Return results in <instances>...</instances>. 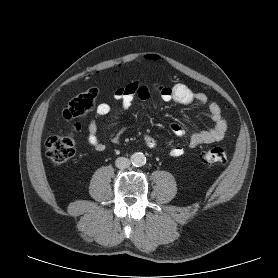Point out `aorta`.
Listing matches in <instances>:
<instances>
[{
  "label": "aorta",
  "mask_w": 278,
  "mask_h": 278,
  "mask_svg": "<svg viewBox=\"0 0 278 278\" xmlns=\"http://www.w3.org/2000/svg\"><path fill=\"white\" fill-rule=\"evenodd\" d=\"M130 161L133 166L141 167L146 163V157L142 152H135L131 155Z\"/></svg>",
  "instance_id": "762f6f07"
}]
</instances>
